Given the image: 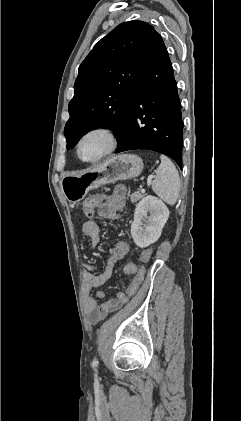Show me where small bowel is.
<instances>
[{
  "label": "small bowel",
  "mask_w": 241,
  "mask_h": 421,
  "mask_svg": "<svg viewBox=\"0 0 241 421\" xmlns=\"http://www.w3.org/2000/svg\"><path fill=\"white\" fill-rule=\"evenodd\" d=\"M127 189L123 185L115 187L113 193L106 197L105 201L98 206V216L104 219H113L117 213L124 207ZM82 232L90 240L91 247L95 248L100 242V228L93 219H88L82 224ZM130 252L129 244L125 240L118 241L110 250L109 257L100 273L94 272V265H86V271L83 275L82 295L86 315L91 324H96L109 313L120 309L128 298L124 293H117L113 297L106 298L99 303L98 299L104 298V293L92 291L104 285L112 276L115 264Z\"/></svg>",
  "instance_id": "c3829d8e"
}]
</instances>
